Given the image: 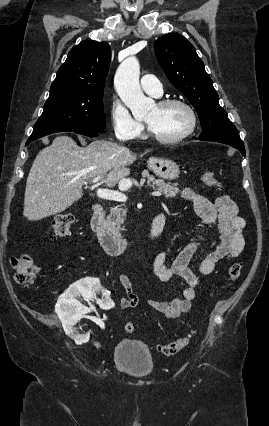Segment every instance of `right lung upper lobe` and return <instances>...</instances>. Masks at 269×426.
<instances>
[{
	"label": "right lung upper lobe",
	"mask_w": 269,
	"mask_h": 426,
	"mask_svg": "<svg viewBox=\"0 0 269 426\" xmlns=\"http://www.w3.org/2000/svg\"><path fill=\"white\" fill-rule=\"evenodd\" d=\"M111 49L106 43L84 40L73 47L57 72L50 93L72 92L103 95Z\"/></svg>",
	"instance_id": "obj_1"
}]
</instances>
